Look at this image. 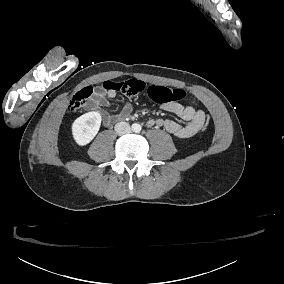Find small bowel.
I'll list each match as a JSON object with an SVG mask.
<instances>
[{
    "label": "small bowel",
    "mask_w": 284,
    "mask_h": 284,
    "mask_svg": "<svg viewBox=\"0 0 284 284\" xmlns=\"http://www.w3.org/2000/svg\"><path fill=\"white\" fill-rule=\"evenodd\" d=\"M109 98H114L116 93L113 91L107 92ZM109 104L103 94L98 93L91 98L88 109H97L107 107ZM164 111L175 114L185 123H178L168 119H151L147 122L148 127H163L171 135L180 138L188 139L197 134L204 125L205 113L202 110L195 109L192 106H183L178 103H166L161 105ZM133 111L131 102H127L121 111L117 114L120 119L128 118ZM103 118L106 122L112 120L113 115L109 112L103 113Z\"/></svg>",
    "instance_id": "c3829d8e"
}]
</instances>
